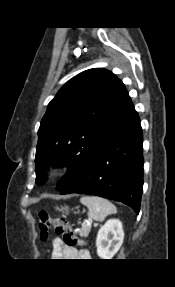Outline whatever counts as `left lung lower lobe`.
<instances>
[{
	"instance_id": "1",
	"label": "left lung lower lobe",
	"mask_w": 175,
	"mask_h": 287,
	"mask_svg": "<svg viewBox=\"0 0 175 287\" xmlns=\"http://www.w3.org/2000/svg\"><path fill=\"white\" fill-rule=\"evenodd\" d=\"M142 129L134 114L98 148L91 164L60 194H91L130 206L137 214L143 188Z\"/></svg>"
}]
</instances>
